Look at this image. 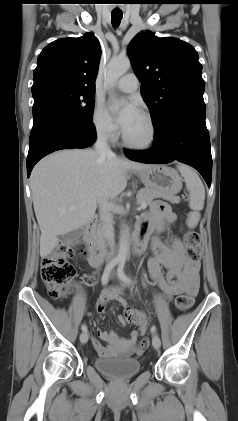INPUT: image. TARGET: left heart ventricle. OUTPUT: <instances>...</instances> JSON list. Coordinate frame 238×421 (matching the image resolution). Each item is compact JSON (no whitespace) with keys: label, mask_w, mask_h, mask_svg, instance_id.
<instances>
[{"label":"left heart ventricle","mask_w":238,"mask_h":421,"mask_svg":"<svg viewBox=\"0 0 238 421\" xmlns=\"http://www.w3.org/2000/svg\"><path fill=\"white\" fill-rule=\"evenodd\" d=\"M123 130L127 138L134 143H143L149 138L148 123L140 113Z\"/></svg>","instance_id":"1"}]
</instances>
